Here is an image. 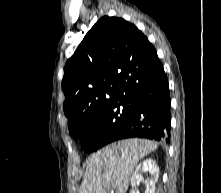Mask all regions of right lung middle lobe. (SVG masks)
I'll use <instances>...</instances> for the list:
<instances>
[{
	"instance_id": "dd1d6c3e",
	"label": "right lung middle lobe",
	"mask_w": 221,
	"mask_h": 193,
	"mask_svg": "<svg viewBox=\"0 0 221 193\" xmlns=\"http://www.w3.org/2000/svg\"><path fill=\"white\" fill-rule=\"evenodd\" d=\"M134 111L133 99H121L107 107L78 119L69 129L72 137L83 136L81 145L86 152H92L106 145L111 137L122 130Z\"/></svg>"
}]
</instances>
